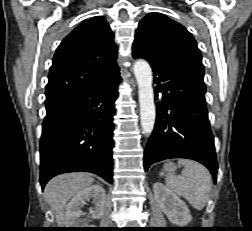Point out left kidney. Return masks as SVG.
Instances as JSON below:
<instances>
[{"mask_svg": "<svg viewBox=\"0 0 252 231\" xmlns=\"http://www.w3.org/2000/svg\"><path fill=\"white\" fill-rule=\"evenodd\" d=\"M153 190L155 199L171 223L183 226L192 220L190 210L186 203L166 186L156 182L153 185Z\"/></svg>", "mask_w": 252, "mask_h": 231, "instance_id": "1", "label": "left kidney"}]
</instances>
